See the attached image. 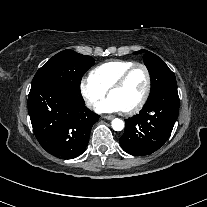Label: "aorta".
<instances>
[{
	"label": "aorta",
	"instance_id": "1",
	"mask_svg": "<svg viewBox=\"0 0 207 207\" xmlns=\"http://www.w3.org/2000/svg\"><path fill=\"white\" fill-rule=\"evenodd\" d=\"M111 125L115 131H121L124 128V122L118 118L113 119Z\"/></svg>",
	"mask_w": 207,
	"mask_h": 207
}]
</instances>
